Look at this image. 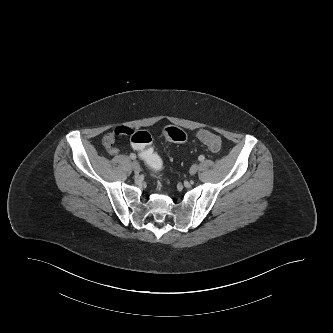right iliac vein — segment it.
Here are the masks:
<instances>
[{
  "mask_svg": "<svg viewBox=\"0 0 333 333\" xmlns=\"http://www.w3.org/2000/svg\"><path fill=\"white\" fill-rule=\"evenodd\" d=\"M132 168L135 172H139L140 171V165L137 161H133L132 162Z\"/></svg>",
  "mask_w": 333,
  "mask_h": 333,
  "instance_id": "obj_1",
  "label": "right iliac vein"
}]
</instances>
